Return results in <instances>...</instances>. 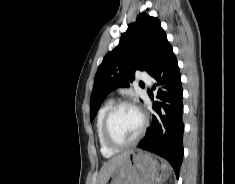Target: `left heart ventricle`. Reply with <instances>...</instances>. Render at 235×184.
<instances>
[{"label":"left heart ventricle","mask_w":235,"mask_h":184,"mask_svg":"<svg viewBox=\"0 0 235 184\" xmlns=\"http://www.w3.org/2000/svg\"><path fill=\"white\" fill-rule=\"evenodd\" d=\"M142 123L140 113L132 107H122L113 115L111 129L113 137L121 142L132 140Z\"/></svg>","instance_id":"1"}]
</instances>
